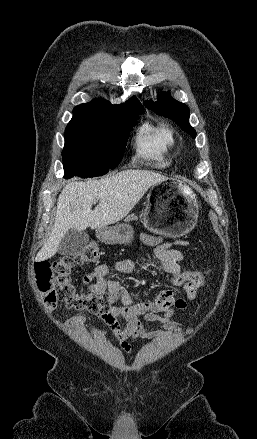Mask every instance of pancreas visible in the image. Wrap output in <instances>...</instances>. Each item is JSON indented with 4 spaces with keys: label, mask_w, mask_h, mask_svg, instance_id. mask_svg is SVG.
<instances>
[{
    "label": "pancreas",
    "mask_w": 257,
    "mask_h": 439,
    "mask_svg": "<svg viewBox=\"0 0 257 439\" xmlns=\"http://www.w3.org/2000/svg\"><path fill=\"white\" fill-rule=\"evenodd\" d=\"M137 219H138L137 216H135L134 214H131L125 218V222H130V221L137 220Z\"/></svg>",
    "instance_id": "obj_1"
}]
</instances>
